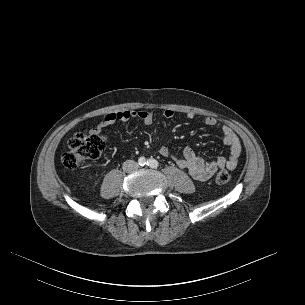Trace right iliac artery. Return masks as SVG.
Returning <instances> with one entry per match:
<instances>
[{
    "label": "right iliac artery",
    "instance_id": "right-iliac-artery-1",
    "mask_svg": "<svg viewBox=\"0 0 305 305\" xmlns=\"http://www.w3.org/2000/svg\"><path fill=\"white\" fill-rule=\"evenodd\" d=\"M138 163L140 166H144L147 164V161L144 157L139 158Z\"/></svg>",
    "mask_w": 305,
    "mask_h": 305
}]
</instances>
